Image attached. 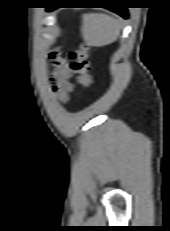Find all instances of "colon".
<instances>
[{"instance_id":"obj_1","label":"colon","mask_w":170,"mask_h":231,"mask_svg":"<svg viewBox=\"0 0 170 231\" xmlns=\"http://www.w3.org/2000/svg\"><path fill=\"white\" fill-rule=\"evenodd\" d=\"M89 53L90 47L82 43L69 54L71 71L77 75L79 83L84 87L92 85V68Z\"/></svg>"}]
</instances>
